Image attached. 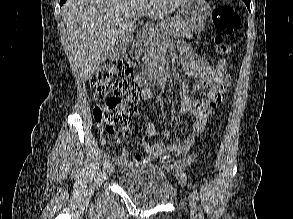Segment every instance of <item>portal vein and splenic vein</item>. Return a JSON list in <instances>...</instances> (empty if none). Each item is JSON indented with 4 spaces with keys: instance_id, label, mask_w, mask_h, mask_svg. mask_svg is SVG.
I'll return each mask as SVG.
<instances>
[{
    "instance_id": "portal-vein-and-splenic-vein-1",
    "label": "portal vein and splenic vein",
    "mask_w": 293,
    "mask_h": 219,
    "mask_svg": "<svg viewBox=\"0 0 293 219\" xmlns=\"http://www.w3.org/2000/svg\"><path fill=\"white\" fill-rule=\"evenodd\" d=\"M143 16H144L143 13H139V14L137 15V18H141V17H143Z\"/></svg>"
}]
</instances>
